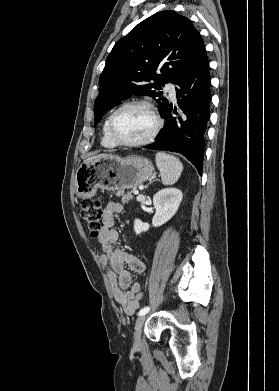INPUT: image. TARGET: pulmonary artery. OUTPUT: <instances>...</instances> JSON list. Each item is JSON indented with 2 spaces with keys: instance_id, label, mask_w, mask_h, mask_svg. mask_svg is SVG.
<instances>
[{
  "instance_id": "obj_1",
  "label": "pulmonary artery",
  "mask_w": 279,
  "mask_h": 391,
  "mask_svg": "<svg viewBox=\"0 0 279 391\" xmlns=\"http://www.w3.org/2000/svg\"><path fill=\"white\" fill-rule=\"evenodd\" d=\"M166 91L169 92L170 96L172 99H175L176 96V90H175V85L169 83L165 87Z\"/></svg>"
}]
</instances>
